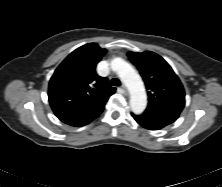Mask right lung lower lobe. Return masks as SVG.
Here are the masks:
<instances>
[{"label": "right lung lower lobe", "mask_w": 222, "mask_h": 187, "mask_svg": "<svg viewBox=\"0 0 222 187\" xmlns=\"http://www.w3.org/2000/svg\"><path fill=\"white\" fill-rule=\"evenodd\" d=\"M102 112V111H101ZM101 112L89 115V116H83V117H69V118H59L62 122L76 127L84 126L88 123H90L92 120H94Z\"/></svg>", "instance_id": "right-lung-lower-lobe-1"}]
</instances>
